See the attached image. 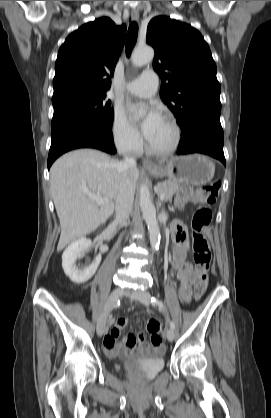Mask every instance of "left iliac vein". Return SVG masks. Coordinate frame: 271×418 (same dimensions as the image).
Masks as SVG:
<instances>
[{
	"label": "left iliac vein",
	"instance_id": "4c4485c4",
	"mask_svg": "<svg viewBox=\"0 0 271 418\" xmlns=\"http://www.w3.org/2000/svg\"><path fill=\"white\" fill-rule=\"evenodd\" d=\"M125 295L132 299H136L142 302L145 306H148L150 304V294L149 292L145 290L126 291ZM166 337L169 341L174 340L175 334H174L173 329L171 328L166 329Z\"/></svg>",
	"mask_w": 271,
	"mask_h": 418
}]
</instances>
